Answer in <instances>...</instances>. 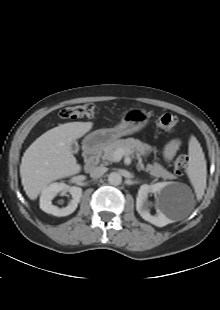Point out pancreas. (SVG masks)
<instances>
[{"label":"pancreas","mask_w":220,"mask_h":310,"mask_svg":"<svg viewBox=\"0 0 220 310\" xmlns=\"http://www.w3.org/2000/svg\"><path fill=\"white\" fill-rule=\"evenodd\" d=\"M117 149L130 150L132 152H137L139 156H146L152 149L151 146L141 142L138 139L127 138L116 140L103 148L102 159L105 164L118 161L114 153ZM145 171L154 177H162L163 179H174L175 176L167 171L159 163L147 164Z\"/></svg>","instance_id":"1"}]
</instances>
